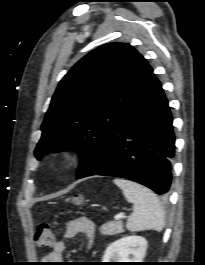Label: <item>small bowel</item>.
<instances>
[{
    "mask_svg": "<svg viewBox=\"0 0 205 265\" xmlns=\"http://www.w3.org/2000/svg\"><path fill=\"white\" fill-rule=\"evenodd\" d=\"M94 234L95 227L91 220L85 217H80L69 221L65 227L64 238L58 240L54 244L53 249L44 256V260L47 263H57L58 261H61L63 253L67 248V241L78 235L83 236L86 241L85 248L89 250L92 247Z\"/></svg>",
    "mask_w": 205,
    "mask_h": 265,
    "instance_id": "1",
    "label": "small bowel"
}]
</instances>
